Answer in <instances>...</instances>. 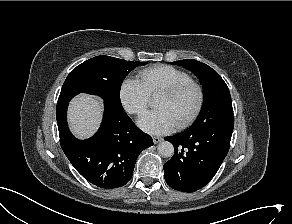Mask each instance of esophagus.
<instances>
[{"instance_id":"34e87169","label":"esophagus","mask_w":292,"mask_h":224,"mask_svg":"<svg viewBox=\"0 0 292 224\" xmlns=\"http://www.w3.org/2000/svg\"><path fill=\"white\" fill-rule=\"evenodd\" d=\"M152 138H153L154 144L160 143L163 140L162 137H158V136H153Z\"/></svg>"}]
</instances>
